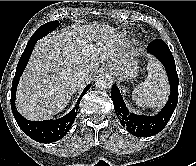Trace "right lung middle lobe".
Returning a JSON list of instances; mask_svg holds the SVG:
<instances>
[{
  "instance_id": "obj_1",
  "label": "right lung middle lobe",
  "mask_w": 196,
  "mask_h": 166,
  "mask_svg": "<svg viewBox=\"0 0 196 166\" xmlns=\"http://www.w3.org/2000/svg\"><path fill=\"white\" fill-rule=\"evenodd\" d=\"M59 25L57 20L45 23L44 25L40 26L36 32L33 34L31 39L38 40L47 35L50 31L56 29Z\"/></svg>"
}]
</instances>
